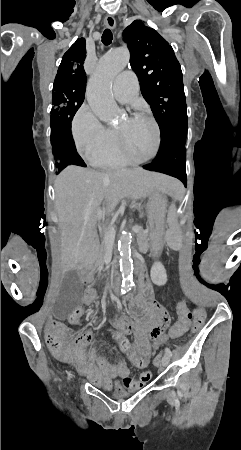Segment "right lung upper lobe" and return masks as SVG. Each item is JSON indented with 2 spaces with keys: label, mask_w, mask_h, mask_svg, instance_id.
Segmentation results:
<instances>
[{
  "label": "right lung upper lobe",
  "mask_w": 241,
  "mask_h": 450,
  "mask_svg": "<svg viewBox=\"0 0 241 450\" xmlns=\"http://www.w3.org/2000/svg\"><path fill=\"white\" fill-rule=\"evenodd\" d=\"M85 39H77L64 54L54 83H69L86 88L83 63L86 58Z\"/></svg>",
  "instance_id": "cb5924a9"
}]
</instances>
